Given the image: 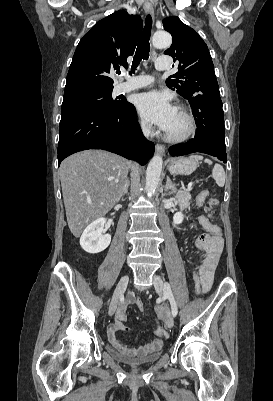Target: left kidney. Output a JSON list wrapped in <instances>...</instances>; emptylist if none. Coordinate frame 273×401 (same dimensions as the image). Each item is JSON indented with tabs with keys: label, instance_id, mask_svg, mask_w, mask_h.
I'll list each match as a JSON object with an SVG mask.
<instances>
[{
	"label": "left kidney",
	"instance_id": "left-kidney-1",
	"mask_svg": "<svg viewBox=\"0 0 273 401\" xmlns=\"http://www.w3.org/2000/svg\"><path fill=\"white\" fill-rule=\"evenodd\" d=\"M183 219H184V215H182V213H175V215L173 217L174 225H180V223H182Z\"/></svg>",
	"mask_w": 273,
	"mask_h": 401
}]
</instances>
